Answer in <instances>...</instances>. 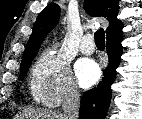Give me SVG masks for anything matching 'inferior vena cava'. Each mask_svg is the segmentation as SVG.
Returning <instances> with one entry per match:
<instances>
[{
    "instance_id": "inferior-vena-cava-1",
    "label": "inferior vena cava",
    "mask_w": 142,
    "mask_h": 119,
    "mask_svg": "<svg viewBox=\"0 0 142 119\" xmlns=\"http://www.w3.org/2000/svg\"><path fill=\"white\" fill-rule=\"evenodd\" d=\"M80 108L79 93L76 86L70 85L62 103V116L64 119H78Z\"/></svg>"
}]
</instances>
